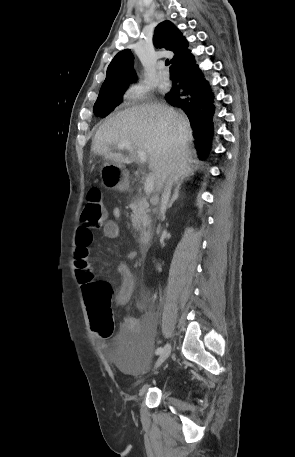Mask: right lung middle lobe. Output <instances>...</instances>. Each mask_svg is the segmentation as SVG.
<instances>
[{
    "label": "right lung middle lobe",
    "instance_id": "dd1d6c3e",
    "mask_svg": "<svg viewBox=\"0 0 295 457\" xmlns=\"http://www.w3.org/2000/svg\"><path fill=\"white\" fill-rule=\"evenodd\" d=\"M128 85H123L112 90L101 91L94 104V114L105 117L110 114L121 102L122 95Z\"/></svg>",
    "mask_w": 295,
    "mask_h": 457
}]
</instances>
